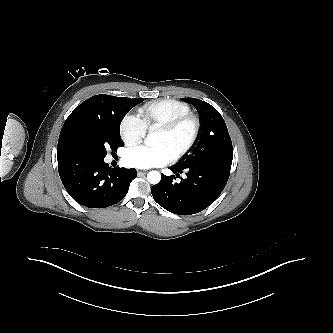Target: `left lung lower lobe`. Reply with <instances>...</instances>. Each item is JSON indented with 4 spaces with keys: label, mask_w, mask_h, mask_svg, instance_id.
<instances>
[{
    "label": "left lung lower lobe",
    "mask_w": 333,
    "mask_h": 333,
    "mask_svg": "<svg viewBox=\"0 0 333 333\" xmlns=\"http://www.w3.org/2000/svg\"><path fill=\"white\" fill-rule=\"evenodd\" d=\"M232 162L206 160L190 165H174L170 169L180 177L162 174L161 181L151 189L154 200L164 209L178 214L191 215L211 205L223 191L231 170Z\"/></svg>",
    "instance_id": "obj_1"
}]
</instances>
